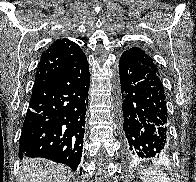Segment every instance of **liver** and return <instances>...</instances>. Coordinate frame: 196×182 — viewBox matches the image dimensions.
Segmentation results:
<instances>
[{"label": "liver", "mask_w": 196, "mask_h": 182, "mask_svg": "<svg viewBox=\"0 0 196 182\" xmlns=\"http://www.w3.org/2000/svg\"><path fill=\"white\" fill-rule=\"evenodd\" d=\"M70 179L67 166L42 158H25L19 172V182H71Z\"/></svg>", "instance_id": "obj_1"}]
</instances>
